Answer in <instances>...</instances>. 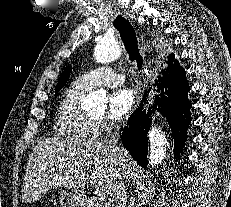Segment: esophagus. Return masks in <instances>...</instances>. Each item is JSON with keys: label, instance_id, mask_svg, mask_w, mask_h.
<instances>
[{"label": "esophagus", "instance_id": "obj_1", "mask_svg": "<svg viewBox=\"0 0 231 207\" xmlns=\"http://www.w3.org/2000/svg\"><path fill=\"white\" fill-rule=\"evenodd\" d=\"M141 40H142V45H143L144 51L149 50V49H150V46H149L148 42H146L145 39H144L143 37H142Z\"/></svg>", "mask_w": 231, "mask_h": 207}]
</instances>
